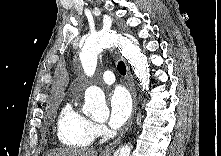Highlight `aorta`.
Masks as SVG:
<instances>
[{
    "label": "aorta",
    "mask_w": 221,
    "mask_h": 156,
    "mask_svg": "<svg viewBox=\"0 0 221 156\" xmlns=\"http://www.w3.org/2000/svg\"><path fill=\"white\" fill-rule=\"evenodd\" d=\"M118 47L122 55L132 66L143 90L149 89L150 69L146 56L131 36L123 35L114 30L99 31L90 35L80 52V60L87 76L95 73L98 54L106 48ZM83 113L94 120H104L109 115L105 95L101 88L89 86L85 90ZM131 144L124 145L115 156H130Z\"/></svg>",
    "instance_id": "762f6f07"
}]
</instances>
